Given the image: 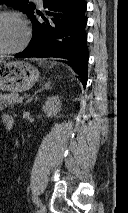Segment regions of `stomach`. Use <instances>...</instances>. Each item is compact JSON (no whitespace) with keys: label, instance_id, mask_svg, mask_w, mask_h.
I'll return each instance as SVG.
<instances>
[{"label":"stomach","instance_id":"1","mask_svg":"<svg viewBox=\"0 0 128 213\" xmlns=\"http://www.w3.org/2000/svg\"><path fill=\"white\" fill-rule=\"evenodd\" d=\"M39 79V71L26 61L0 60V90L18 93L30 89Z\"/></svg>","mask_w":128,"mask_h":213}]
</instances>
